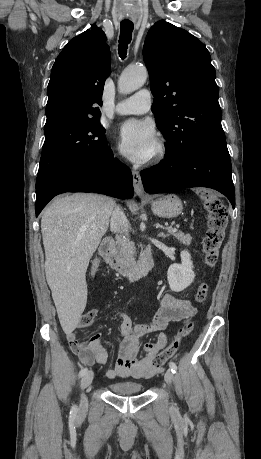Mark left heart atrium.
Returning a JSON list of instances; mask_svg holds the SVG:
<instances>
[{"label":"left heart atrium","mask_w":261,"mask_h":459,"mask_svg":"<svg viewBox=\"0 0 261 459\" xmlns=\"http://www.w3.org/2000/svg\"><path fill=\"white\" fill-rule=\"evenodd\" d=\"M120 151L135 163L148 161L155 153L157 137L148 121L131 119L125 121L117 133Z\"/></svg>","instance_id":"39dd6f15"}]
</instances>
